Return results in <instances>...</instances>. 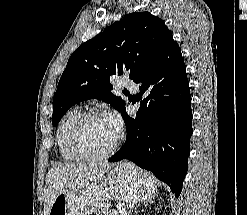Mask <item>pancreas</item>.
I'll use <instances>...</instances> for the list:
<instances>
[{
  "mask_svg": "<svg viewBox=\"0 0 247 215\" xmlns=\"http://www.w3.org/2000/svg\"><path fill=\"white\" fill-rule=\"evenodd\" d=\"M96 215H120L118 211L109 209L105 205L96 210Z\"/></svg>",
  "mask_w": 247,
  "mask_h": 215,
  "instance_id": "pancreas-1",
  "label": "pancreas"
}]
</instances>
